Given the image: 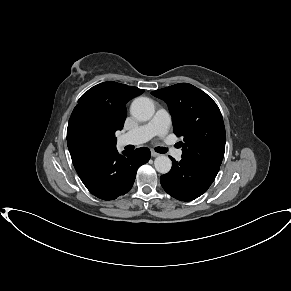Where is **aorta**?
<instances>
[{
    "label": "aorta",
    "instance_id": "aorta-1",
    "mask_svg": "<svg viewBox=\"0 0 291 291\" xmlns=\"http://www.w3.org/2000/svg\"><path fill=\"white\" fill-rule=\"evenodd\" d=\"M130 112L135 119L148 121L154 115V103L147 97H138L132 102ZM154 166L159 173L166 174L170 171L172 162L168 156L159 155L154 160Z\"/></svg>",
    "mask_w": 291,
    "mask_h": 291
}]
</instances>
